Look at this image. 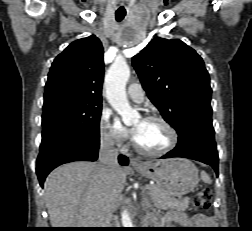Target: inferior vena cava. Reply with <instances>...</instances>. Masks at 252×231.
I'll return each instance as SVG.
<instances>
[{
  "mask_svg": "<svg viewBox=\"0 0 252 231\" xmlns=\"http://www.w3.org/2000/svg\"><path fill=\"white\" fill-rule=\"evenodd\" d=\"M99 162L103 170L113 176L118 170V150L114 147V140L109 134H105L100 140Z\"/></svg>",
  "mask_w": 252,
  "mask_h": 231,
  "instance_id": "obj_1",
  "label": "inferior vena cava"
}]
</instances>
